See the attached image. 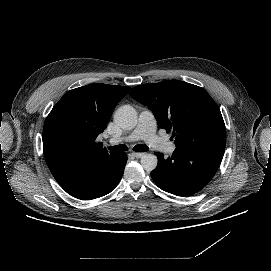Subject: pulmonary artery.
I'll use <instances>...</instances> for the list:
<instances>
[{
  "instance_id": "obj_1",
  "label": "pulmonary artery",
  "mask_w": 271,
  "mask_h": 271,
  "mask_svg": "<svg viewBox=\"0 0 271 271\" xmlns=\"http://www.w3.org/2000/svg\"><path fill=\"white\" fill-rule=\"evenodd\" d=\"M138 140H145L170 155L173 154L176 148L175 144L157 137L154 115L147 109L139 114L136 128L132 132L126 136L110 137L108 142L110 145H117L123 142H134Z\"/></svg>"
}]
</instances>
